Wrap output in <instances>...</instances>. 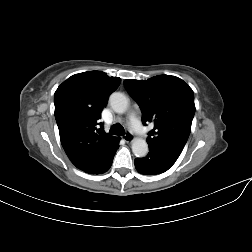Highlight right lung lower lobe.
Masks as SVG:
<instances>
[{"mask_svg": "<svg viewBox=\"0 0 252 252\" xmlns=\"http://www.w3.org/2000/svg\"><path fill=\"white\" fill-rule=\"evenodd\" d=\"M119 140H120V138H118V139L111 145L109 158H108L106 164L104 165V167H103L100 171H98V172L95 173V174H102V173H105L106 171L109 170V168H110L111 165H112L115 152H116V150H117L118 147H119Z\"/></svg>", "mask_w": 252, "mask_h": 252, "instance_id": "obj_1", "label": "right lung lower lobe"}]
</instances>
